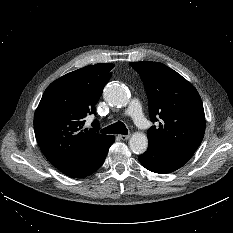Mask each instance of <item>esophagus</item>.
<instances>
[{"mask_svg": "<svg viewBox=\"0 0 233 233\" xmlns=\"http://www.w3.org/2000/svg\"><path fill=\"white\" fill-rule=\"evenodd\" d=\"M119 138L121 139V140H128L129 138H130V135H119Z\"/></svg>", "mask_w": 233, "mask_h": 233, "instance_id": "1", "label": "esophagus"}]
</instances>
